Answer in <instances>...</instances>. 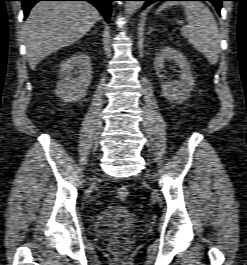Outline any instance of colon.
<instances>
[{"instance_id":"colon-1","label":"colon","mask_w":247,"mask_h":265,"mask_svg":"<svg viewBox=\"0 0 247 265\" xmlns=\"http://www.w3.org/2000/svg\"><path fill=\"white\" fill-rule=\"evenodd\" d=\"M117 195L120 198V200L125 201L129 196L128 188L125 186H118Z\"/></svg>"}]
</instances>
